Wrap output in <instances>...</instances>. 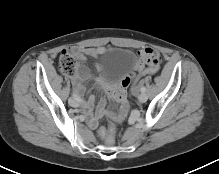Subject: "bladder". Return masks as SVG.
<instances>
[{
	"label": "bladder",
	"mask_w": 219,
	"mask_h": 174,
	"mask_svg": "<svg viewBox=\"0 0 219 174\" xmlns=\"http://www.w3.org/2000/svg\"><path fill=\"white\" fill-rule=\"evenodd\" d=\"M135 60L133 53L125 49L109 51L98 64V73L106 84L120 80L131 68Z\"/></svg>",
	"instance_id": "bladder-1"
}]
</instances>
